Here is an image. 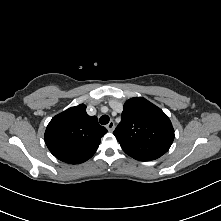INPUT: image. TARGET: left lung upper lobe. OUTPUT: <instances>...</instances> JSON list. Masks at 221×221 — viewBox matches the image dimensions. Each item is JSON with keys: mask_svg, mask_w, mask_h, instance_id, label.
<instances>
[{"mask_svg": "<svg viewBox=\"0 0 221 221\" xmlns=\"http://www.w3.org/2000/svg\"><path fill=\"white\" fill-rule=\"evenodd\" d=\"M113 134L123 151L140 161L161 157L174 140V129L168 116L142 97L125 102L121 122Z\"/></svg>", "mask_w": 221, "mask_h": 221, "instance_id": "obj_1", "label": "left lung upper lobe"}]
</instances>
